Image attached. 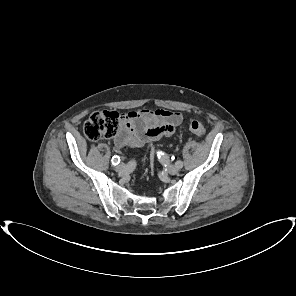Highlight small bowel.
Returning a JSON list of instances; mask_svg holds the SVG:
<instances>
[{
  "mask_svg": "<svg viewBox=\"0 0 296 296\" xmlns=\"http://www.w3.org/2000/svg\"><path fill=\"white\" fill-rule=\"evenodd\" d=\"M182 121L181 113L168 109L130 111L121 116L114 144L117 147H141L150 141L171 136Z\"/></svg>",
  "mask_w": 296,
  "mask_h": 296,
  "instance_id": "1",
  "label": "small bowel"
}]
</instances>
